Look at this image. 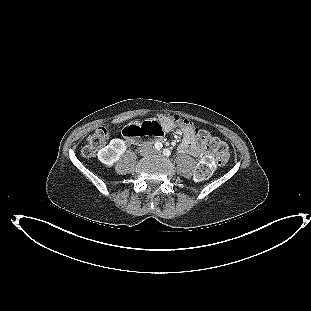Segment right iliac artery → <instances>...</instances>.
<instances>
[{"mask_svg":"<svg viewBox=\"0 0 311 311\" xmlns=\"http://www.w3.org/2000/svg\"><path fill=\"white\" fill-rule=\"evenodd\" d=\"M154 146H155L156 150H161L163 147L162 143H160V142H156Z\"/></svg>","mask_w":311,"mask_h":311,"instance_id":"right-iliac-artery-1","label":"right iliac artery"}]
</instances>
